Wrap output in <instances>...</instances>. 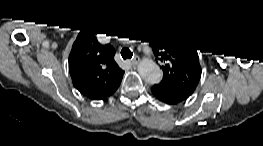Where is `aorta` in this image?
Listing matches in <instances>:
<instances>
[{"label":"aorta","mask_w":263,"mask_h":146,"mask_svg":"<svg viewBox=\"0 0 263 146\" xmlns=\"http://www.w3.org/2000/svg\"><path fill=\"white\" fill-rule=\"evenodd\" d=\"M140 76L148 83H158L162 78V72L152 60H143L138 66Z\"/></svg>","instance_id":"aorta-1"}]
</instances>
